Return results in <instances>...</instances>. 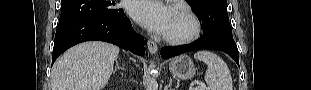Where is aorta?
Returning a JSON list of instances; mask_svg holds the SVG:
<instances>
[{"mask_svg":"<svg viewBox=\"0 0 311 90\" xmlns=\"http://www.w3.org/2000/svg\"><path fill=\"white\" fill-rule=\"evenodd\" d=\"M154 67H155L154 62H152L150 64V69H152V72H154ZM146 90H158V82L154 77L149 78Z\"/></svg>","mask_w":311,"mask_h":90,"instance_id":"aorta-1","label":"aorta"}]
</instances>
